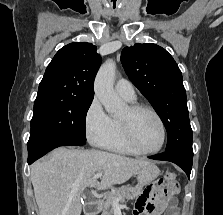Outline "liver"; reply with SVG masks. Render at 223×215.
<instances>
[{"label": "liver", "mask_w": 223, "mask_h": 215, "mask_svg": "<svg viewBox=\"0 0 223 215\" xmlns=\"http://www.w3.org/2000/svg\"><path fill=\"white\" fill-rule=\"evenodd\" d=\"M147 163V159L100 149L57 147L47 159H39L31 167L40 215H80L83 187L107 189L114 183H124ZM96 173H103L101 181L92 179Z\"/></svg>", "instance_id": "1"}]
</instances>
